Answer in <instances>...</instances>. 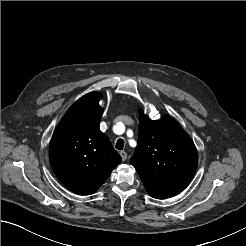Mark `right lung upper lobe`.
<instances>
[{
    "instance_id": "1",
    "label": "right lung upper lobe",
    "mask_w": 246,
    "mask_h": 246,
    "mask_svg": "<svg viewBox=\"0 0 246 246\" xmlns=\"http://www.w3.org/2000/svg\"><path fill=\"white\" fill-rule=\"evenodd\" d=\"M100 98L92 92L76 101L57 125L49 146L56 176L81 195L95 193L122 160L99 129Z\"/></svg>"
}]
</instances>
